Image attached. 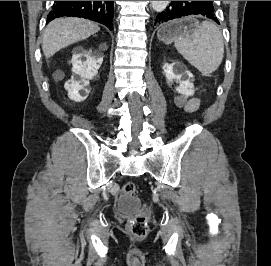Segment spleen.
I'll list each match as a JSON object with an SVG mask.
<instances>
[{"instance_id": "obj_1", "label": "spleen", "mask_w": 271, "mask_h": 266, "mask_svg": "<svg viewBox=\"0 0 271 266\" xmlns=\"http://www.w3.org/2000/svg\"><path fill=\"white\" fill-rule=\"evenodd\" d=\"M191 33L174 40L177 51L202 75L218 69L224 56V42L219 28L210 21L196 24Z\"/></svg>"}]
</instances>
